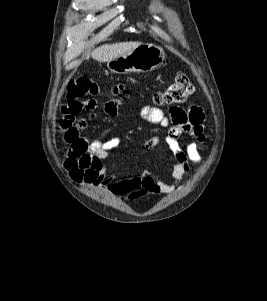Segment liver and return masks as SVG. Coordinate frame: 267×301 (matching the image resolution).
I'll use <instances>...</instances> for the list:
<instances>
[{"instance_id": "1", "label": "liver", "mask_w": 267, "mask_h": 301, "mask_svg": "<svg viewBox=\"0 0 267 301\" xmlns=\"http://www.w3.org/2000/svg\"><path fill=\"white\" fill-rule=\"evenodd\" d=\"M140 42H122L106 44L92 52V58L98 62H108L140 46Z\"/></svg>"}]
</instances>
